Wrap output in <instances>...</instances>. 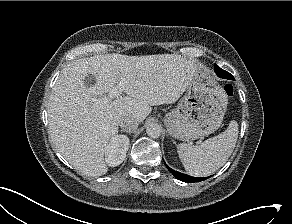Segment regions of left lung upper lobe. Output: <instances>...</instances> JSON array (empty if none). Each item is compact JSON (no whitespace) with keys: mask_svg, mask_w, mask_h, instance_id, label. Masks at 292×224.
<instances>
[{"mask_svg":"<svg viewBox=\"0 0 292 224\" xmlns=\"http://www.w3.org/2000/svg\"><path fill=\"white\" fill-rule=\"evenodd\" d=\"M216 66H217V65L215 64V65H214V67H216ZM218 67H219V66H218ZM223 74H224V75H225L227 78H232V77H231L232 75H231V74H229V73H228V72H226V71H225V72H223Z\"/></svg>","mask_w":292,"mask_h":224,"instance_id":"obj_1","label":"left lung upper lobe"}]
</instances>
